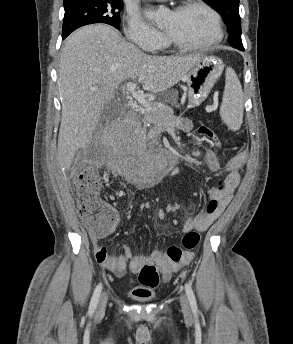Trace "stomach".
Returning a JSON list of instances; mask_svg holds the SVG:
<instances>
[{"mask_svg": "<svg viewBox=\"0 0 293 344\" xmlns=\"http://www.w3.org/2000/svg\"><path fill=\"white\" fill-rule=\"evenodd\" d=\"M221 73L222 62L218 58L203 56L200 61L184 75L182 80L187 83L190 107L198 106L208 97Z\"/></svg>", "mask_w": 293, "mask_h": 344, "instance_id": "obj_1", "label": "stomach"}]
</instances>
